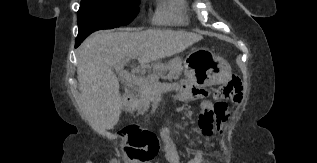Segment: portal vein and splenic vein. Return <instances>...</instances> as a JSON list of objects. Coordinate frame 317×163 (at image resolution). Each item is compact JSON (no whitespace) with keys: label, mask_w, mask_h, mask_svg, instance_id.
<instances>
[{"label":"portal vein and splenic vein","mask_w":317,"mask_h":163,"mask_svg":"<svg viewBox=\"0 0 317 163\" xmlns=\"http://www.w3.org/2000/svg\"><path fill=\"white\" fill-rule=\"evenodd\" d=\"M130 59H134V58L128 57V58L118 62L116 65L113 66V68L115 69L118 76L120 78H122L123 80H125L126 82L132 83V84H137V85L145 84L146 79L135 76V75L127 72L126 70H124V64L126 62H128ZM158 86L160 89H162L164 87L161 83H158Z\"/></svg>","instance_id":"portal-vein-and-splenic-vein-1"}]
</instances>
